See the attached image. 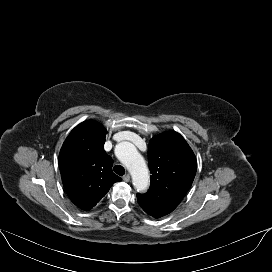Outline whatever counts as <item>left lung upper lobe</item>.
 <instances>
[{"instance_id":"obj_1","label":"left lung upper lobe","mask_w":272,"mask_h":272,"mask_svg":"<svg viewBox=\"0 0 272 272\" xmlns=\"http://www.w3.org/2000/svg\"><path fill=\"white\" fill-rule=\"evenodd\" d=\"M148 163L151 185L147 193L137 194V199L146 213L160 218L172 212L188 192L197 161L185 139L171 131L151 139Z\"/></svg>"}]
</instances>
